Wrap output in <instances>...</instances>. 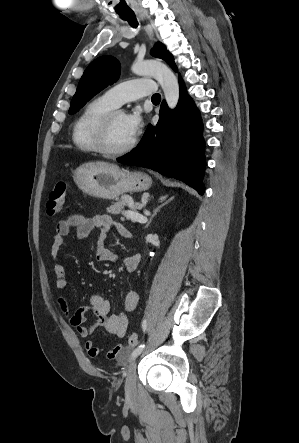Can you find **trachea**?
<instances>
[{
  "label": "trachea",
  "instance_id": "obj_1",
  "mask_svg": "<svg viewBox=\"0 0 299 443\" xmlns=\"http://www.w3.org/2000/svg\"><path fill=\"white\" fill-rule=\"evenodd\" d=\"M122 17L128 21V23L133 27V28H137L138 26V22L137 19L135 17V15L133 13H124L122 15ZM161 100V95L159 93H156L152 96V101L153 102H159Z\"/></svg>",
  "mask_w": 299,
  "mask_h": 443
}]
</instances>
